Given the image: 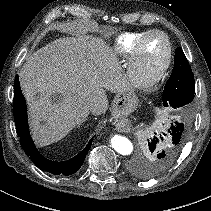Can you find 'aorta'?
<instances>
[{
    "instance_id": "1",
    "label": "aorta",
    "mask_w": 211,
    "mask_h": 211,
    "mask_svg": "<svg viewBox=\"0 0 211 211\" xmlns=\"http://www.w3.org/2000/svg\"><path fill=\"white\" fill-rule=\"evenodd\" d=\"M111 145L114 150L121 155H129L133 152V145L131 141L124 136H113L111 138Z\"/></svg>"
}]
</instances>
